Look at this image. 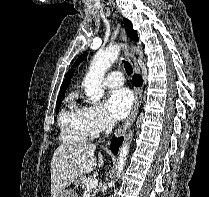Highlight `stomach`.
Masks as SVG:
<instances>
[{
  "label": "stomach",
  "mask_w": 209,
  "mask_h": 197,
  "mask_svg": "<svg viewBox=\"0 0 209 197\" xmlns=\"http://www.w3.org/2000/svg\"><path fill=\"white\" fill-rule=\"evenodd\" d=\"M57 197H78L76 192L72 189H64Z\"/></svg>",
  "instance_id": "0dacf381"
}]
</instances>
